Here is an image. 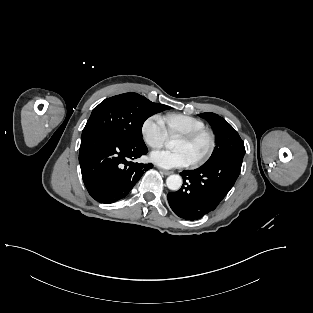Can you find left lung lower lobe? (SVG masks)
Here are the masks:
<instances>
[{"label": "left lung lower lobe", "instance_id": "obj_1", "mask_svg": "<svg viewBox=\"0 0 313 313\" xmlns=\"http://www.w3.org/2000/svg\"><path fill=\"white\" fill-rule=\"evenodd\" d=\"M242 160L230 157L181 172L182 188L167 196L171 209L177 216L192 221L213 211L233 187Z\"/></svg>", "mask_w": 313, "mask_h": 313}]
</instances>
